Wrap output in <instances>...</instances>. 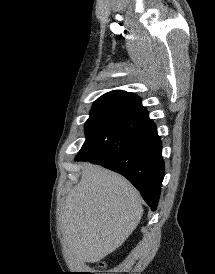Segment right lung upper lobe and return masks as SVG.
<instances>
[{
  "label": "right lung upper lobe",
  "mask_w": 215,
  "mask_h": 274,
  "mask_svg": "<svg viewBox=\"0 0 215 274\" xmlns=\"http://www.w3.org/2000/svg\"><path fill=\"white\" fill-rule=\"evenodd\" d=\"M95 102H108L126 106L128 108L147 112L141 104V99L133 93H128L121 90L108 92L98 98Z\"/></svg>",
  "instance_id": "right-lung-upper-lobe-1"
}]
</instances>
